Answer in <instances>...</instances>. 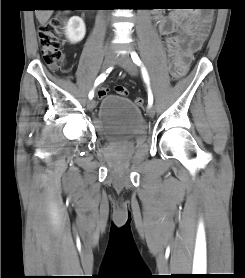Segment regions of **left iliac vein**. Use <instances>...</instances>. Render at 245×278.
Listing matches in <instances>:
<instances>
[{"mask_svg":"<svg viewBox=\"0 0 245 278\" xmlns=\"http://www.w3.org/2000/svg\"><path fill=\"white\" fill-rule=\"evenodd\" d=\"M117 62L119 65L125 69L127 72H129L132 75L137 74V66L132 62L130 57L127 54L121 55L117 58ZM147 114L149 117H153L155 115V109L153 106H149L147 108Z\"/></svg>","mask_w":245,"mask_h":278,"instance_id":"obj_1","label":"left iliac vein"}]
</instances>
